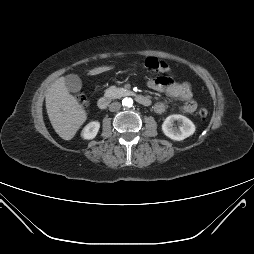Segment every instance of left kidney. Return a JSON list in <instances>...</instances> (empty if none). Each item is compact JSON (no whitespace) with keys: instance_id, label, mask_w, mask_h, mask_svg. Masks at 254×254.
I'll use <instances>...</instances> for the list:
<instances>
[{"instance_id":"left-kidney-1","label":"left kidney","mask_w":254,"mask_h":254,"mask_svg":"<svg viewBox=\"0 0 254 254\" xmlns=\"http://www.w3.org/2000/svg\"><path fill=\"white\" fill-rule=\"evenodd\" d=\"M174 121H178V127L174 126ZM163 133L172 140L181 141L191 136L195 132V125L187 117L180 114L168 116L162 124Z\"/></svg>"}]
</instances>
